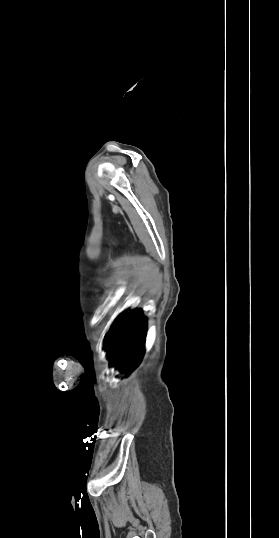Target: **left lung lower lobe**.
<instances>
[{
	"mask_svg": "<svg viewBox=\"0 0 279 538\" xmlns=\"http://www.w3.org/2000/svg\"><path fill=\"white\" fill-rule=\"evenodd\" d=\"M147 321L140 310L120 315L106 335L111 364L121 372L135 369L142 361Z\"/></svg>",
	"mask_w": 279,
	"mask_h": 538,
	"instance_id": "obj_1",
	"label": "left lung lower lobe"
}]
</instances>
